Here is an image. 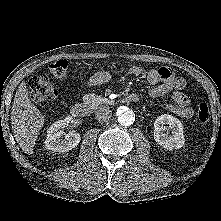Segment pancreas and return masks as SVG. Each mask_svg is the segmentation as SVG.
<instances>
[{"instance_id":"1","label":"pancreas","mask_w":221,"mask_h":221,"mask_svg":"<svg viewBox=\"0 0 221 221\" xmlns=\"http://www.w3.org/2000/svg\"><path fill=\"white\" fill-rule=\"evenodd\" d=\"M101 97H94L93 95L88 96V98H86L85 100L88 102H93V103H98L101 101Z\"/></svg>"}]
</instances>
